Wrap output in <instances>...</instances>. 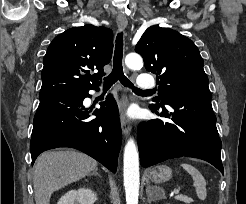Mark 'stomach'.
Returning a JSON list of instances; mask_svg holds the SVG:
<instances>
[{
    "instance_id": "stomach-1",
    "label": "stomach",
    "mask_w": 246,
    "mask_h": 204,
    "mask_svg": "<svg viewBox=\"0 0 246 204\" xmlns=\"http://www.w3.org/2000/svg\"><path fill=\"white\" fill-rule=\"evenodd\" d=\"M149 178L154 183H163L172 177V170L165 165H158L149 171Z\"/></svg>"
}]
</instances>
